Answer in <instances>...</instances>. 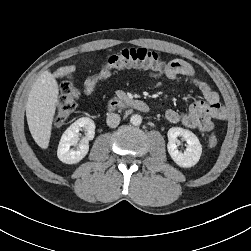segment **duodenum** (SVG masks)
<instances>
[{"label": "duodenum", "mask_w": 251, "mask_h": 251, "mask_svg": "<svg viewBox=\"0 0 251 251\" xmlns=\"http://www.w3.org/2000/svg\"><path fill=\"white\" fill-rule=\"evenodd\" d=\"M120 108H132L141 112H148L150 110L148 104L139 99H123V98H112L107 103L108 111H115Z\"/></svg>", "instance_id": "duodenum-1"}]
</instances>
